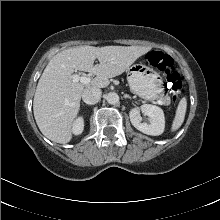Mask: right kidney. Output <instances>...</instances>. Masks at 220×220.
I'll return each mask as SVG.
<instances>
[{
	"instance_id": "right-kidney-1",
	"label": "right kidney",
	"mask_w": 220,
	"mask_h": 220,
	"mask_svg": "<svg viewBox=\"0 0 220 220\" xmlns=\"http://www.w3.org/2000/svg\"><path fill=\"white\" fill-rule=\"evenodd\" d=\"M83 129H84V120L82 117H79L73 123L72 132L75 135H79L83 132Z\"/></svg>"
}]
</instances>
